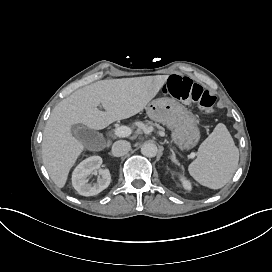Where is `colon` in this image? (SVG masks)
I'll return each mask as SVG.
<instances>
[{
	"mask_svg": "<svg viewBox=\"0 0 272 272\" xmlns=\"http://www.w3.org/2000/svg\"><path fill=\"white\" fill-rule=\"evenodd\" d=\"M166 92L180 103L197 105L206 112L214 110L216 97L188 77L170 76L166 83Z\"/></svg>",
	"mask_w": 272,
	"mask_h": 272,
	"instance_id": "1",
	"label": "colon"
}]
</instances>
